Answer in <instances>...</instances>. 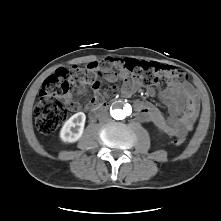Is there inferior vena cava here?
<instances>
[{
    "instance_id": "1",
    "label": "inferior vena cava",
    "mask_w": 221,
    "mask_h": 221,
    "mask_svg": "<svg viewBox=\"0 0 221 221\" xmlns=\"http://www.w3.org/2000/svg\"><path fill=\"white\" fill-rule=\"evenodd\" d=\"M99 120L100 121H109L110 120V116H109L108 112L100 113Z\"/></svg>"
}]
</instances>
